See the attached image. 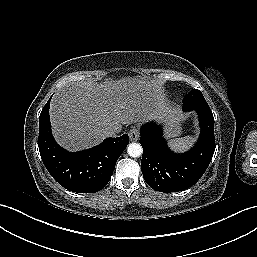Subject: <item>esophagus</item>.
I'll use <instances>...</instances> for the list:
<instances>
[{"label": "esophagus", "mask_w": 257, "mask_h": 257, "mask_svg": "<svg viewBox=\"0 0 257 257\" xmlns=\"http://www.w3.org/2000/svg\"><path fill=\"white\" fill-rule=\"evenodd\" d=\"M129 139L130 141H137L139 139V130L136 127H133L129 131Z\"/></svg>", "instance_id": "obj_1"}]
</instances>
